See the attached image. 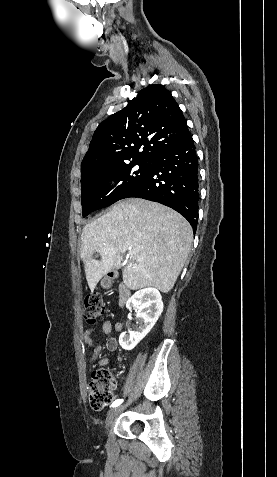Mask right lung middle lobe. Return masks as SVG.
<instances>
[{
    "label": "right lung middle lobe",
    "instance_id": "1",
    "mask_svg": "<svg viewBox=\"0 0 277 477\" xmlns=\"http://www.w3.org/2000/svg\"><path fill=\"white\" fill-rule=\"evenodd\" d=\"M151 169L150 161H132L104 168L81 171V197L83 217L92 211L107 207L123 199L144 179ZM122 183L110 194L109 180Z\"/></svg>",
    "mask_w": 277,
    "mask_h": 477
}]
</instances>
